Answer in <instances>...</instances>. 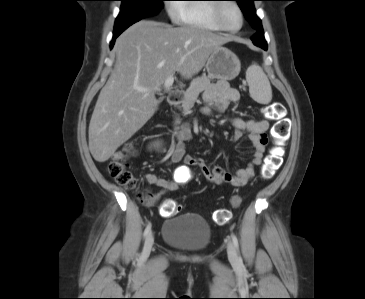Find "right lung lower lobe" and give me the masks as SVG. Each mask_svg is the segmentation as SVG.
Masks as SVG:
<instances>
[{"mask_svg":"<svg viewBox=\"0 0 365 299\" xmlns=\"http://www.w3.org/2000/svg\"><path fill=\"white\" fill-rule=\"evenodd\" d=\"M137 21H128V22H124L122 24H117L114 27V32H113V40L111 42V48L114 45L115 39L125 30L127 29L129 26H131L132 24H134Z\"/></svg>","mask_w":365,"mask_h":299,"instance_id":"right-lung-lower-lobe-1","label":"right lung lower lobe"}]
</instances>
